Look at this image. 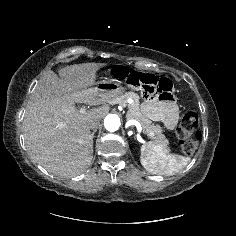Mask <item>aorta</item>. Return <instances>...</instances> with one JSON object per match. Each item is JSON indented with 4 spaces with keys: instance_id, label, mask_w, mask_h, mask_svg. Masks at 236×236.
Listing matches in <instances>:
<instances>
[{
    "instance_id": "1",
    "label": "aorta",
    "mask_w": 236,
    "mask_h": 236,
    "mask_svg": "<svg viewBox=\"0 0 236 236\" xmlns=\"http://www.w3.org/2000/svg\"><path fill=\"white\" fill-rule=\"evenodd\" d=\"M120 118L116 114H109L104 120V126L106 130L110 132L117 131L120 128Z\"/></svg>"
}]
</instances>
